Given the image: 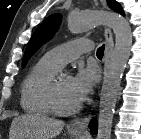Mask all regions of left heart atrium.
Listing matches in <instances>:
<instances>
[{
    "instance_id": "obj_1",
    "label": "left heart atrium",
    "mask_w": 141,
    "mask_h": 139,
    "mask_svg": "<svg viewBox=\"0 0 141 139\" xmlns=\"http://www.w3.org/2000/svg\"><path fill=\"white\" fill-rule=\"evenodd\" d=\"M97 70L95 67H82L72 77L71 90L77 103L83 102L92 91L97 81Z\"/></svg>"
}]
</instances>
